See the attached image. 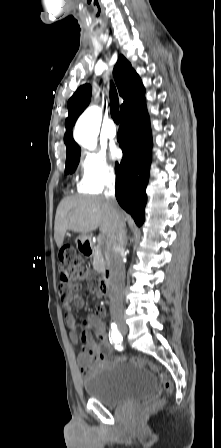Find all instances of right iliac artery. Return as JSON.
I'll use <instances>...</instances> for the list:
<instances>
[{
    "instance_id": "82829eb1",
    "label": "right iliac artery",
    "mask_w": 221,
    "mask_h": 448,
    "mask_svg": "<svg viewBox=\"0 0 221 448\" xmlns=\"http://www.w3.org/2000/svg\"><path fill=\"white\" fill-rule=\"evenodd\" d=\"M111 332L109 333L110 342L112 343H121L122 341V335L120 331L117 329V325L112 323L111 324Z\"/></svg>"
}]
</instances>
